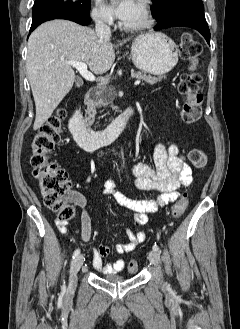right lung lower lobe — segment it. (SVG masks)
<instances>
[{"label":"right lung lower lobe","instance_id":"98d812e1","mask_svg":"<svg viewBox=\"0 0 240 329\" xmlns=\"http://www.w3.org/2000/svg\"><path fill=\"white\" fill-rule=\"evenodd\" d=\"M32 15L33 20L30 32H32L41 23L52 19L71 20L81 25H88L91 21L90 15L58 9H38L33 11Z\"/></svg>","mask_w":240,"mask_h":329}]
</instances>
